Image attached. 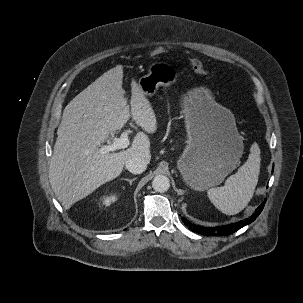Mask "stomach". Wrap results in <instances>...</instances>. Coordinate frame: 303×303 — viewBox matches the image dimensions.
I'll list each match as a JSON object with an SVG mask.
<instances>
[{
    "mask_svg": "<svg viewBox=\"0 0 303 303\" xmlns=\"http://www.w3.org/2000/svg\"><path fill=\"white\" fill-rule=\"evenodd\" d=\"M178 74L166 62L149 66L138 85L145 96H153L158 87L170 86ZM187 145L177 167L192 189L207 190L223 182L243 154V138L237 131L233 113L215 102L205 87L194 88L182 97Z\"/></svg>",
    "mask_w": 303,
    "mask_h": 303,
    "instance_id": "obj_1",
    "label": "stomach"
}]
</instances>
